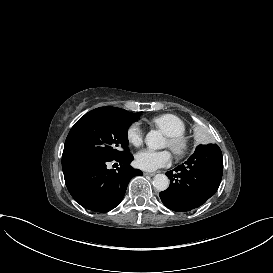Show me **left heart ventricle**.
<instances>
[{
  "label": "left heart ventricle",
  "instance_id": "obj_1",
  "mask_svg": "<svg viewBox=\"0 0 273 273\" xmlns=\"http://www.w3.org/2000/svg\"><path fill=\"white\" fill-rule=\"evenodd\" d=\"M169 144V140L167 139V145Z\"/></svg>",
  "mask_w": 273,
  "mask_h": 273
}]
</instances>
